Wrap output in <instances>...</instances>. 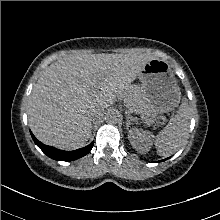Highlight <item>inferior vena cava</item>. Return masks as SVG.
I'll return each instance as SVG.
<instances>
[{"label":"inferior vena cava","mask_w":220,"mask_h":220,"mask_svg":"<svg viewBox=\"0 0 220 220\" xmlns=\"http://www.w3.org/2000/svg\"><path fill=\"white\" fill-rule=\"evenodd\" d=\"M104 116V109L96 108L90 113V118L92 121L100 120Z\"/></svg>","instance_id":"602c4592"}]
</instances>
